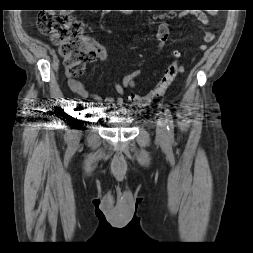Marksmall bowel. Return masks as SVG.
Returning a JSON list of instances; mask_svg holds the SVG:
<instances>
[{"mask_svg": "<svg viewBox=\"0 0 253 253\" xmlns=\"http://www.w3.org/2000/svg\"><path fill=\"white\" fill-rule=\"evenodd\" d=\"M192 17L193 21L196 25L203 31V37L205 42H211L214 39V33L208 28L209 21L208 17L205 13L197 12V13H187L181 12L179 14V18H187ZM157 45L153 56L159 54L164 50L169 40V27L165 21H160L157 25ZM91 46L95 51V58L99 59L102 62H110L111 59L109 58L107 51L104 47L98 45L97 43L91 42ZM208 46L206 44H202L200 49L205 51L207 50ZM174 55L178 56L179 52L174 51ZM146 60H139L135 63L133 71L128 73L124 78L122 83L115 82L114 89L118 93V97H106L102 98L97 93H90L88 92L86 86L78 79L73 77L67 71L68 77V84L70 89L78 94L83 98H92L97 101L99 104H106V105H114V106H122L123 105V96L125 95L126 89H132L135 86V79L141 74V69L145 66Z\"/></svg>", "mask_w": 253, "mask_h": 253, "instance_id": "small-bowel-1", "label": "small bowel"}]
</instances>
